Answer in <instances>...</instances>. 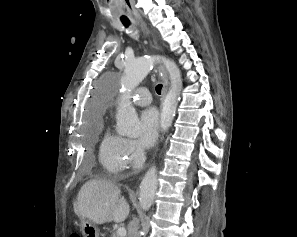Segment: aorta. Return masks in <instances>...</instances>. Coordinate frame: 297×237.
Here are the masks:
<instances>
[{
    "instance_id": "1",
    "label": "aorta",
    "mask_w": 297,
    "mask_h": 237,
    "mask_svg": "<svg viewBox=\"0 0 297 237\" xmlns=\"http://www.w3.org/2000/svg\"><path fill=\"white\" fill-rule=\"evenodd\" d=\"M156 62L164 64L171 83L160 116L162 130L166 131L172 123L183 88L181 72L178 66L174 61L159 56L136 58L127 61L124 75L121 78V85L125 88V92L119 101L116 116L117 132L121 135L138 136L141 132L138 115L130 101V93L145 79ZM156 191L157 170L153 166L147 171L140 184L139 202L144 211H148L153 205Z\"/></svg>"
}]
</instances>
